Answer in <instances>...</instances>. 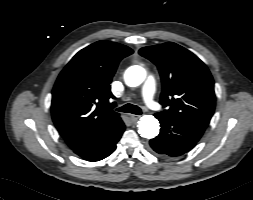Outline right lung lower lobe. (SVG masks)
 <instances>
[{"label":"right lung lower lobe","mask_w":253,"mask_h":200,"mask_svg":"<svg viewBox=\"0 0 253 200\" xmlns=\"http://www.w3.org/2000/svg\"><path fill=\"white\" fill-rule=\"evenodd\" d=\"M124 130L125 125L121 122L101 138L73 149V151L87 161L102 160L116 149V143L121 138Z\"/></svg>","instance_id":"1"}]
</instances>
